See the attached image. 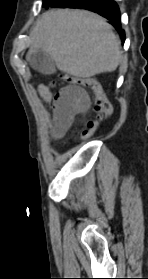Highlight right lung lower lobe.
I'll use <instances>...</instances> for the list:
<instances>
[{
    "label": "right lung lower lobe",
    "instance_id": "98d812e1",
    "mask_svg": "<svg viewBox=\"0 0 148 279\" xmlns=\"http://www.w3.org/2000/svg\"><path fill=\"white\" fill-rule=\"evenodd\" d=\"M48 7L80 8L98 13L110 20V24L121 34L122 42L125 41V32L120 23V10L114 0H50L45 8Z\"/></svg>",
    "mask_w": 148,
    "mask_h": 279
}]
</instances>
